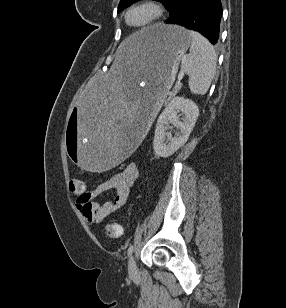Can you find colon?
<instances>
[{"label":"colon","instance_id":"obj_1","mask_svg":"<svg viewBox=\"0 0 286 308\" xmlns=\"http://www.w3.org/2000/svg\"><path fill=\"white\" fill-rule=\"evenodd\" d=\"M84 188V182L81 179H72L70 181L71 192H81ZM103 232L110 238H119L122 235V226L117 223H107L103 226Z\"/></svg>","mask_w":286,"mask_h":308}]
</instances>
